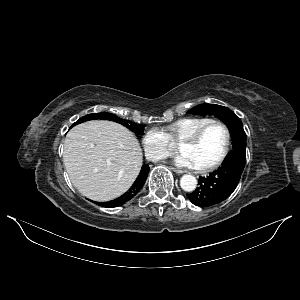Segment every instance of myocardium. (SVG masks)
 <instances>
[{"instance_id": "obj_1", "label": "myocardium", "mask_w": 300, "mask_h": 300, "mask_svg": "<svg viewBox=\"0 0 300 300\" xmlns=\"http://www.w3.org/2000/svg\"><path fill=\"white\" fill-rule=\"evenodd\" d=\"M213 125H220L221 127H223L225 134H226L225 147H224V150H223L221 156L215 162H213L212 164H210L208 166L196 168V170L199 173H209L211 171H214L217 168H219L224 163V161L227 159L229 152H230L231 139H232L231 131H230L228 125L221 120H211L208 123H206L205 125L201 126L199 129H197L194 133H192L190 136H188L181 142V145L196 144L201 139V137L203 136L205 131Z\"/></svg>"}]
</instances>
